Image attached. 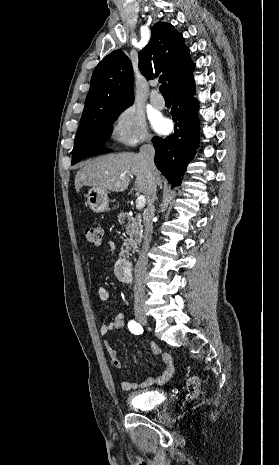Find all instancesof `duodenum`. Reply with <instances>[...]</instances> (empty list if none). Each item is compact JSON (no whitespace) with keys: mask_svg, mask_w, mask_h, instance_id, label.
<instances>
[{"mask_svg":"<svg viewBox=\"0 0 279 465\" xmlns=\"http://www.w3.org/2000/svg\"><path fill=\"white\" fill-rule=\"evenodd\" d=\"M116 275L118 279L124 283L132 282V273L129 262L125 258H121L116 265Z\"/></svg>","mask_w":279,"mask_h":465,"instance_id":"obj_1","label":"duodenum"}]
</instances>
